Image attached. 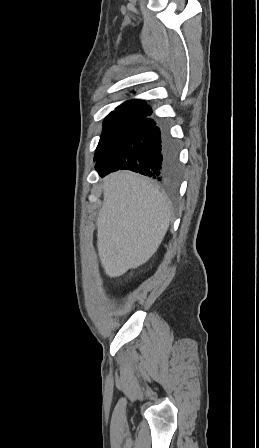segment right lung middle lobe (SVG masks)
Wrapping results in <instances>:
<instances>
[{"mask_svg":"<svg viewBox=\"0 0 259 448\" xmlns=\"http://www.w3.org/2000/svg\"><path fill=\"white\" fill-rule=\"evenodd\" d=\"M143 118L140 114H109L103 123V131L96 148L94 161L117 139L132 123Z\"/></svg>","mask_w":259,"mask_h":448,"instance_id":"obj_1","label":"right lung middle lobe"}]
</instances>
